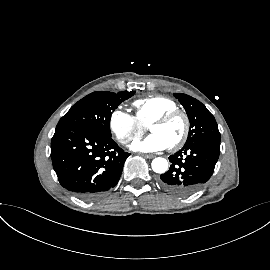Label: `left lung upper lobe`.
<instances>
[{"instance_id":"1","label":"left lung upper lobe","mask_w":270,"mask_h":270,"mask_svg":"<svg viewBox=\"0 0 270 270\" xmlns=\"http://www.w3.org/2000/svg\"><path fill=\"white\" fill-rule=\"evenodd\" d=\"M174 96L183 105L190 121V130L185 145L198 140H221L218 125L214 116L197 99L182 93H174Z\"/></svg>"}]
</instances>
